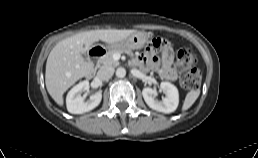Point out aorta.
<instances>
[{
    "instance_id": "obj_1",
    "label": "aorta",
    "mask_w": 258,
    "mask_h": 158,
    "mask_svg": "<svg viewBox=\"0 0 258 158\" xmlns=\"http://www.w3.org/2000/svg\"><path fill=\"white\" fill-rule=\"evenodd\" d=\"M116 76H117L118 78H124V77L126 76V70H125V68H123V67L117 68V70H116Z\"/></svg>"
}]
</instances>
